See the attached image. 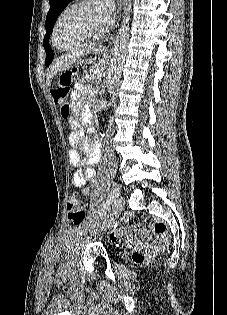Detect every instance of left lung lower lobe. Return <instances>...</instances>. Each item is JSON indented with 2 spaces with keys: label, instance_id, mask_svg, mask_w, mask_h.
<instances>
[{
  "label": "left lung lower lobe",
  "instance_id": "1",
  "mask_svg": "<svg viewBox=\"0 0 227 315\" xmlns=\"http://www.w3.org/2000/svg\"><path fill=\"white\" fill-rule=\"evenodd\" d=\"M49 55H50L49 60L46 63L47 66L52 62L53 57H54V56H52V52H50Z\"/></svg>",
  "mask_w": 227,
  "mask_h": 315
}]
</instances>
